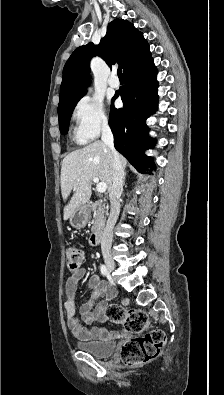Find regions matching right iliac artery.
<instances>
[{
    "instance_id": "82829eb1",
    "label": "right iliac artery",
    "mask_w": 224,
    "mask_h": 395,
    "mask_svg": "<svg viewBox=\"0 0 224 395\" xmlns=\"http://www.w3.org/2000/svg\"><path fill=\"white\" fill-rule=\"evenodd\" d=\"M100 271L103 276H108V270L105 265H101Z\"/></svg>"
}]
</instances>
